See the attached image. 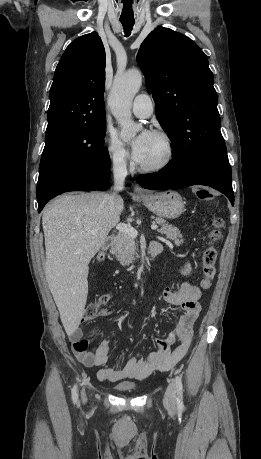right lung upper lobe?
<instances>
[{
    "instance_id": "right-lung-upper-lobe-1",
    "label": "right lung upper lobe",
    "mask_w": 261,
    "mask_h": 459,
    "mask_svg": "<svg viewBox=\"0 0 261 459\" xmlns=\"http://www.w3.org/2000/svg\"><path fill=\"white\" fill-rule=\"evenodd\" d=\"M105 50L96 32L74 40L59 61L50 89L46 132L106 119Z\"/></svg>"
}]
</instances>
